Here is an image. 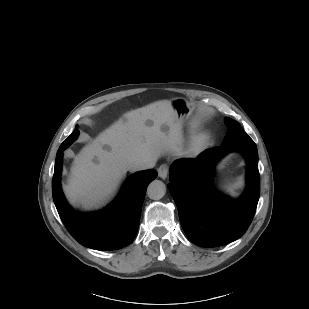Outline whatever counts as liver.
Instances as JSON below:
<instances>
[{
  "mask_svg": "<svg viewBox=\"0 0 309 309\" xmlns=\"http://www.w3.org/2000/svg\"><path fill=\"white\" fill-rule=\"evenodd\" d=\"M181 124L168 100L127 112L74 157L64 192L71 204L97 207L136 161L176 149Z\"/></svg>",
  "mask_w": 309,
  "mask_h": 309,
  "instance_id": "6515ba94",
  "label": "liver"
}]
</instances>
